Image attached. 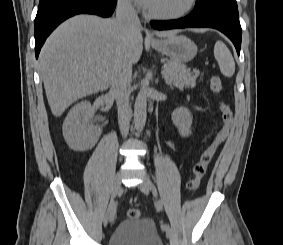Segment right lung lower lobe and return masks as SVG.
I'll use <instances>...</instances> for the list:
<instances>
[{
  "mask_svg": "<svg viewBox=\"0 0 283 245\" xmlns=\"http://www.w3.org/2000/svg\"><path fill=\"white\" fill-rule=\"evenodd\" d=\"M117 0H40L35 18V55L46 38L64 20L76 14L88 13L109 17L114 12Z\"/></svg>",
  "mask_w": 283,
  "mask_h": 245,
  "instance_id": "right-lung-lower-lobe-1",
  "label": "right lung lower lobe"
}]
</instances>
